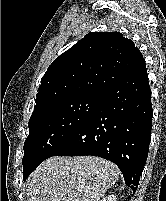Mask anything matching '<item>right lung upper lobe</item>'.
<instances>
[{
  "label": "right lung upper lobe",
  "instance_id": "cb5924a9",
  "mask_svg": "<svg viewBox=\"0 0 166 201\" xmlns=\"http://www.w3.org/2000/svg\"><path fill=\"white\" fill-rule=\"evenodd\" d=\"M143 59L119 32H92L49 66L38 88L31 117L82 95H103Z\"/></svg>",
  "mask_w": 166,
  "mask_h": 201
}]
</instances>
